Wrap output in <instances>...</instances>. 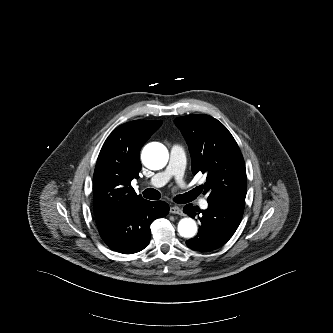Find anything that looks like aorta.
<instances>
[{
	"instance_id": "obj_1",
	"label": "aorta",
	"mask_w": 333,
	"mask_h": 333,
	"mask_svg": "<svg viewBox=\"0 0 333 333\" xmlns=\"http://www.w3.org/2000/svg\"><path fill=\"white\" fill-rule=\"evenodd\" d=\"M168 151L161 143H150L142 152L143 164L151 170H159L168 162ZM179 235L184 238H193L197 234V225L192 218H182L178 223Z\"/></svg>"
}]
</instances>
